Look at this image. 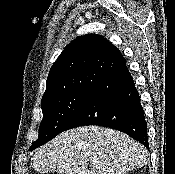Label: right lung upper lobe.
I'll list each match as a JSON object with an SVG mask.
<instances>
[{"label": "right lung upper lobe", "mask_w": 175, "mask_h": 174, "mask_svg": "<svg viewBox=\"0 0 175 174\" xmlns=\"http://www.w3.org/2000/svg\"><path fill=\"white\" fill-rule=\"evenodd\" d=\"M126 66L117 47L100 35H85L71 42L50 69L42 100L68 91L94 88Z\"/></svg>", "instance_id": "right-lung-upper-lobe-1"}]
</instances>
